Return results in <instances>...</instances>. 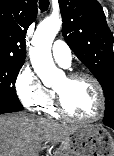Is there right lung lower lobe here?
<instances>
[{"label": "right lung lower lobe", "mask_w": 114, "mask_h": 156, "mask_svg": "<svg viewBox=\"0 0 114 156\" xmlns=\"http://www.w3.org/2000/svg\"><path fill=\"white\" fill-rule=\"evenodd\" d=\"M16 111H19V109L0 107V114L9 113V112H16Z\"/></svg>", "instance_id": "right-lung-lower-lobe-1"}]
</instances>
